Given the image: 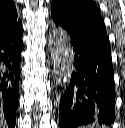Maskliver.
<instances>
[{
    "instance_id": "6515ba94",
    "label": "liver",
    "mask_w": 125,
    "mask_h": 128,
    "mask_svg": "<svg viewBox=\"0 0 125 128\" xmlns=\"http://www.w3.org/2000/svg\"><path fill=\"white\" fill-rule=\"evenodd\" d=\"M0 112H1V105H0ZM6 125L4 124V120L2 118V115L0 114V128H5Z\"/></svg>"
}]
</instances>
